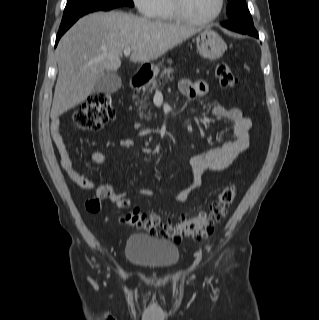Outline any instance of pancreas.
Returning <instances> with one entry per match:
<instances>
[{
    "mask_svg": "<svg viewBox=\"0 0 319 320\" xmlns=\"http://www.w3.org/2000/svg\"><path fill=\"white\" fill-rule=\"evenodd\" d=\"M173 69L164 68L162 73L160 74L159 79H151L146 85L143 87V95H144V103L148 100L149 94L152 93L154 89H156L158 83H160V79H164L165 77H169L171 73H173Z\"/></svg>",
    "mask_w": 319,
    "mask_h": 320,
    "instance_id": "cf45deb5",
    "label": "pancreas"
}]
</instances>
